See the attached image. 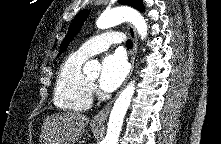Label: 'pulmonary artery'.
<instances>
[{"label": "pulmonary artery", "instance_id": "pulmonary-artery-1", "mask_svg": "<svg viewBox=\"0 0 221 144\" xmlns=\"http://www.w3.org/2000/svg\"><path fill=\"white\" fill-rule=\"evenodd\" d=\"M124 36L122 33L109 31L99 34L86 41L76 53L84 58H89L107 50L112 44L122 43Z\"/></svg>", "mask_w": 221, "mask_h": 144}]
</instances>
